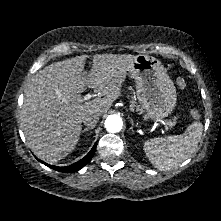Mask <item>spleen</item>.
Segmentation results:
<instances>
[{
    "label": "spleen",
    "instance_id": "spleen-1",
    "mask_svg": "<svg viewBox=\"0 0 221 221\" xmlns=\"http://www.w3.org/2000/svg\"><path fill=\"white\" fill-rule=\"evenodd\" d=\"M201 122L190 124L183 135L154 138L144 143L143 149L149 161L160 171L171 170L195 151L202 136Z\"/></svg>",
    "mask_w": 221,
    "mask_h": 221
}]
</instances>
